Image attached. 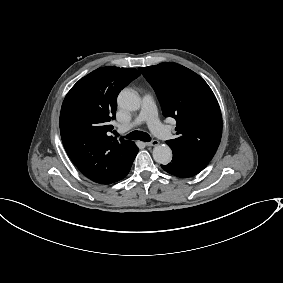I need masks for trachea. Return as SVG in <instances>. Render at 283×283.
Wrapping results in <instances>:
<instances>
[{
    "label": "trachea",
    "mask_w": 283,
    "mask_h": 283,
    "mask_svg": "<svg viewBox=\"0 0 283 283\" xmlns=\"http://www.w3.org/2000/svg\"><path fill=\"white\" fill-rule=\"evenodd\" d=\"M126 138L131 140H141L144 142L151 141L150 135L148 133L137 130L126 135Z\"/></svg>",
    "instance_id": "obj_1"
}]
</instances>
